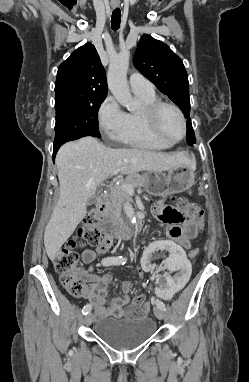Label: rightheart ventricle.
Here are the masks:
<instances>
[{
  "instance_id": "obj_1",
  "label": "right heart ventricle",
  "mask_w": 249,
  "mask_h": 382,
  "mask_svg": "<svg viewBox=\"0 0 249 382\" xmlns=\"http://www.w3.org/2000/svg\"><path fill=\"white\" fill-rule=\"evenodd\" d=\"M141 100L143 106L152 104L157 100L155 94L135 93ZM122 143L146 150H165L172 144L158 139L150 131L141 111L130 112L127 114V128L125 133L118 139Z\"/></svg>"
}]
</instances>
